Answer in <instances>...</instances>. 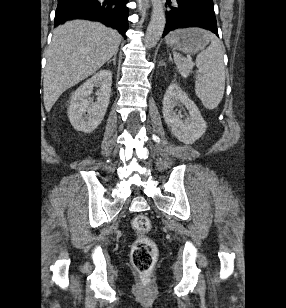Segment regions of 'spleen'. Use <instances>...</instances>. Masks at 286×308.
Here are the masks:
<instances>
[{
    "label": "spleen",
    "instance_id": "1",
    "mask_svg": "<svg viewBox=\"0 0 286 308\" xmlns=\"http://www.w3.org/2000/svg\"><path fill=\"white\" fill-rule=\"evenodd\" d=\"M211 44L196 57L198 74L195 76V93L206 109L213 110L220 104L225 89V67L220 40L208 32ZM174 62L182 77L190 72V61L177 52Z\"/></svg>",
    "mask_w": 286,
    "mask_h": 308
}]
</instances>
